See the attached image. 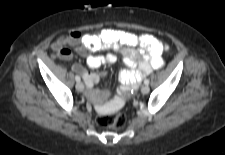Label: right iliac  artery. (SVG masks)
<instances>
[{
  "mask_svg": "<svg viewBox=\"0 0 225 155\" xmlns=\"http://www.w3.org/2000/svg\"><path fill=\"white\" fill-rule=\"evenodd\" d=\"M75 80H76L77 82H79L81 79H80V77L77 75V76L75 77Z\"/></svg>",
  "mask_w": 225,
  "mask_h": 155,
  "instance_id": "1",
  "label": "right iliac artery"
}]
</instances>
